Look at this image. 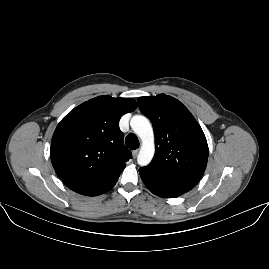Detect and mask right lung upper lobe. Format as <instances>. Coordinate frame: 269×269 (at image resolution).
Here are the masks:
<instances>
[{
  "label": "right lung upper lobe",
  "mask_w": 269,
  "mask_h": 269,
  "mask_svg": "<svg viewBox=\"0 0 269 269\" xmlns=\"http://www.w3.org/2000/svg\"><path fill=\"white\" fill-rule=\"evenodd\" d=\"M137 108L132 98L98 96L79 105L58 124L51 141L52 165L75 192L116 181L131 157L120 118Z\"/></svg>",
  "instance_id": "obj_1"
}]
</instances>
